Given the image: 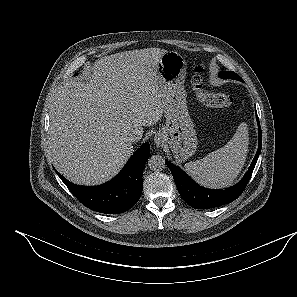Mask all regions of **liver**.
Wrapping results in <instances>:
<instances>
[{"mask_svg": "<svg viewBox=\"0 0 297 297\" xmlns=\"http://www.w3.org/2000/svg\"><path fill=\"white\" fill-rule=\"evenodd\" d=\"M167 51L131 50L97 60L87 83L71 80L57 93L48 148L56 169L79 185L113 178L133 153L128 132L164 113L157 65Z\"/></svg>", "mask_w": 297, "mask_h": 297, "instance_id": "obj_1", "label": "liver"}]
</instances>
